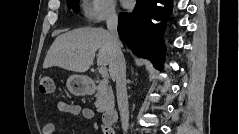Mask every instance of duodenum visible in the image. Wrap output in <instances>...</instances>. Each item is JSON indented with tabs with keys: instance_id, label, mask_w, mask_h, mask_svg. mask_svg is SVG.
Here are the masks:
<instances>
[{
	"instance_id": "410a0bca",
	"label": "duodenum",
	"mask_w": 239,
	"mask_h": 134,
	"mask_svg": "<svg viewBox=\"0 0 239 134\" xmlns=\"http://www.w3.org/2000/svg\"><path fill=\"white\" fill-rule=\"evenodd\" d=\"M88 90H92L94 88V82L92 80L87 81ZM118 119V113L115 109L111 108L105 111L103 116V124L107 129H111Z\"/></svg>"
}]
</instances>
